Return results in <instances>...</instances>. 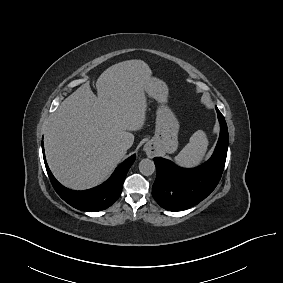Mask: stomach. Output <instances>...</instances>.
<instances>
[{
  "mask_svg": "<svg viewBox=\"0 0 283 283\" xmlns=\"http://www.w3.org/2000/svg\"><path fill=\"white\" fill-rule=\"evenodd\" d=\"M156 80L157 85L147 87L146 93L158 103L156 129L154 137L149 140L147 147L153 146L164 153H174L178 148L179 121L173 111L167 105L168 86Z\"/></svg>",
  "mask_w": 283,
  "mask_h": 283,
  "instance_id": "obj_1",
  "label": "stomach"
}]
</instances>
